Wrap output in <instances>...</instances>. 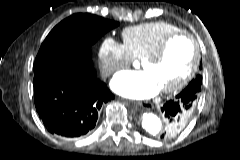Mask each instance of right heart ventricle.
Listing matches in <instances>:
<instances>
[{
  "label": "right heart ventricle",
  "instance_id": "e07e8e85",
  "mask_svg": "<svg viewBox=\"0 0 240 160\" xmlns=\"http://www.w3.org/2000/svg\"><path fill=\"white\" fill-rule=\"evenodd\" d=\"M180 30L174 24L156 21L124 29L122 39L131 58L140 60L151 53L165 36Z\"/></svg>",
  "mask_w": 240,
  "mask_h": 160
}]
</instances>
